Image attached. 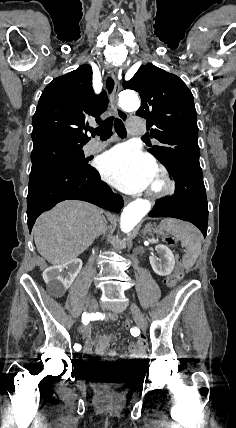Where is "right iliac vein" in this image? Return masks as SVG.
I'll list each match as a JSON object with an SVG mask.
<instances>
[{"mask_svg": "<svg viewBox=\"0 0 236 428\" xmlns=\"http://www.w3.org/2000/svg\"><path fill=\"white\" fill-rule=\"evenodd\" d=\"M89 311L90 312H95V308L98 306V303L93 299L90 298L89 299ZM84 335L82 336L84 339L87 337L86 335L88 334L86 331L83 333ZM84 341V340H81Z\"/></svg>", "mask_w": 236, "mask_h": 428, "instance_id": "1", "label": "right iliac vein"}]
</instances>
